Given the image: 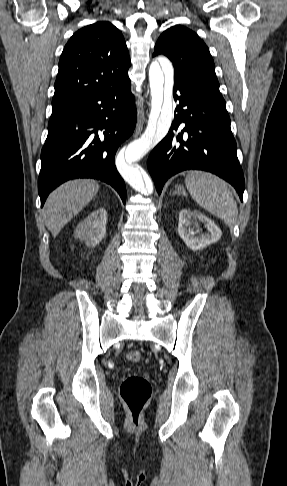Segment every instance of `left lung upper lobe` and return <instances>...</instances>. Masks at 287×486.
<instances>
[{
  "label": "left lung upper lobe",
  "instance_id": "left-lung-upper-lobe-1",
  "mask_svg": "<svg viewBox=\"0 0 287 486\" xmlns=\"http://www.w3.org/2000/svg\"><path fill=\"white\" fill-rule=\"evenodd\" d=\"M159 54L173 62L175 79L191 83L211 101L226 108L212 56L195 32L181 25L167 29L155 45L153 56Z\"/></svg>",
  "mask_w": 287,
  "mask_h": 486
}]
</instances>
